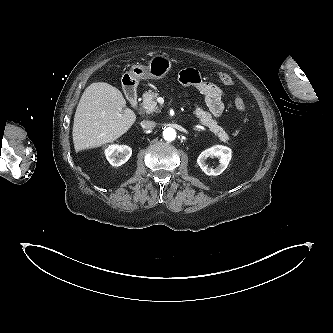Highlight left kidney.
Masks as SVG:
<instances>
[{
  "label": "left kidney",
  "mask_w": 333,
  "mask_h": 333,
  "mask_svg": "<svg viewBox=\"0 0 333 333\" xmlns=\"http://www.w3.org/2000/svg\"><path fill=\"white\" fill-rule=\"evenodd\" d=\"M210 156H215L219 159V165L216 168H209L206 164V159ZM232 157V151L229 147L215 145L204 150L197 158V163L206 175H220L228 166Z\"/></svg>",
  "instance_id": "1"
}]
</instances>
